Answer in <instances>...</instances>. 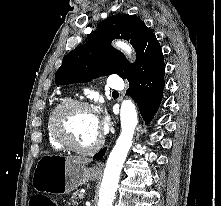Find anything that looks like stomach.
<instances>
[{
    "instance_id": "0dacf381",
    "label": "stomach",
    "mask_w": 221,
    "mask_h": 206,
    "mask_svg": "<svg viewBox=\"0 0 221 206\" xmlns=\"http://www.w3.org/2000/svg\"><path fill=\"white\" fill-rule=\"evenodd\" d=\"M99 173L84 164L75 163L63 155H44L35 167L32 185L38 192L68 194Z\"/></svg>"
}]
</instances>
